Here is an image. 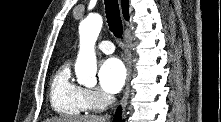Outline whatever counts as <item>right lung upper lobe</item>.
Returning <instances> with one entry per match:
<instances>
[{
    "label": "right lung upper lobe",
    "instance_id": "obj_1",
    "mask_svg": "<svg viewBox=\"0 0 221 122\" xmlns=\"http://www.w3.org/2000/svg\"><path fill=\"white\" fill-rule=\"evenodd\" d=\"M128 8H129L128 0H122V12L125 19H128Z\"/></svg>",
    "mask_w": 221,
    "mask_h": 122
}]
</instances>
